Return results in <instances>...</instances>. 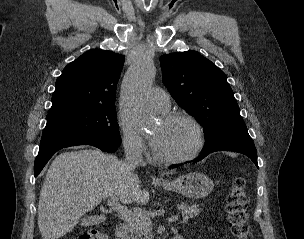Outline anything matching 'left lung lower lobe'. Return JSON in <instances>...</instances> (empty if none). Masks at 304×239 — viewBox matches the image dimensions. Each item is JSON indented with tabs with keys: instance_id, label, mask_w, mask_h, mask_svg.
I'll return each instance as SVG.
<instances>
[{
	"instance_id": "left-lung-lower-lobe-1",
	"label": "left lung lower lobe",
	"mask_w": 304,
	"mask_h": 239,
	"mask_svg": "<svg viewBox=\"0 0 304 239\" xmlns=\"http://www.w3.org/2000/svg\"><path fill=\"white\" fill-rule=\"evenodd\" d=\"M216 151H234V152L242 153V154L246 155L247 157H249L254 162V164L258 167L257 151H256L254 143H232V144H227V145H223V146L216 147V148L205 149L201 152V155L197 159H195L193 162L200 161L201 159L206 157L208 154H210L212 152H216ZM181 165L182 164L174 165L173 167L176 168Z\"/></svg>"
}]
</instances>
